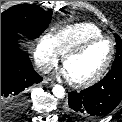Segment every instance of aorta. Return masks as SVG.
Listing matches in <instances>:
<instances>
[{"mask_svg": "<svg viewBox=\"0 0 122 122\" xmlns=\"http://www.w3.org/2000/svg\"><path fill=\"white\" fill-rule=\"evenodd\" d=\"M53 95L57 98H63L65 96V89L61 85H55L52 89Z\"/></svg>", "mask_w": 122, "mask_h": 122, "instance_id": "1", "label": "aorta"}]
</instances>
